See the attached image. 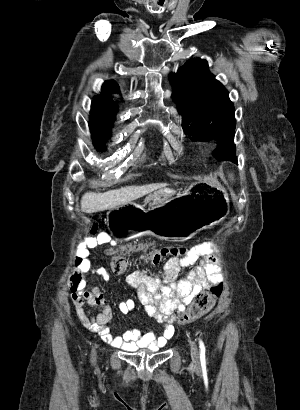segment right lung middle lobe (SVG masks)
<instances>
[{
    "mask_svg": "<svg viewBox=\"0 0 300 410\" xmlns=\"http://www.w3.org/2000/svg\"><path fill=\"white\" fill-rule=\"evenodd\" d=\"M97 101L94 100L91 106V123L90 129L91 133L98 136V139L94 140V145L98 150H105L104 143L105 139L111 135V124L114 118H110L102 115L97 111Z\"/></svg>",
    "mask_w": 300,
    "mask_h": 410,
    "instance_id": "obj_1",
    "label": "right lung middle lobe"
}]
</instances>
